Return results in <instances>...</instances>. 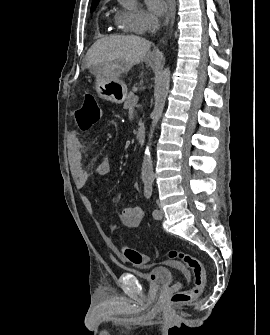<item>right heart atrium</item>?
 <instances>
[{
  "instance_id": "d8ad5b80",
  "label": "right heart atrium",
  "mask_w": 270,
  "mask_h": 335,
  "mask_svg": "<svg viewBox=\"0 0 270 335\" xmlns=\"http://www.w3.org/2000/svg\"><path fill=\"white\" fill-rule=\"evenodd\" d=\"M119 19L126 30L137 34H147V25H155L152 17L141 7L124 9L118 13Z\"/></svg>"
}]
</instances>
